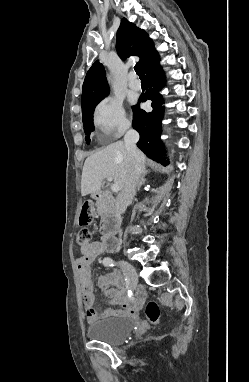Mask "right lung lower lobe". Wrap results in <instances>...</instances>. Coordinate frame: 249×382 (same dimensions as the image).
I'll return each instance as SVG.
<instances>
[{
  "instance_id": "obj_1",
  "label": "right lung lower lobe",
  "mask_w": 249,
  "mask_h": 382,
  "mask_svg": "<svg viewBox=\"0 0 249 382\" xmlns=\"http://www.w3.org/2000/svg\"><path fill=\"white\" fill-rule=\"evenodd\" d=\"M144 72L148 77L150 88L146 95L140 97L139 101L151 100L153 111L147 113L140 109L139 104L133 107V127L140 134L137 146L151 159L164 163L165 157L160 154L163 152V145L159 138L164 110L163 99L159 91L164 85V75L159 65V57L155 58Z\"/></svg>"
}]
</instances>
